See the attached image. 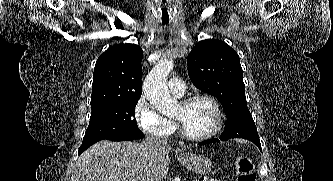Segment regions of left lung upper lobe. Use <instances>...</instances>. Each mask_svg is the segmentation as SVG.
I'll return each mask as SVG.
<instances>
[{
  "mask_svg": "<svg viewBox=\"0 0 333 181\" xmlns=\"http://www.w3.org/2000/svg\"><path fill=\"white\" fill-rule=\"evenodd\" d=\"M188 75L200 90L216 97L227 117L224 134L260 142L244 92L238 54L223 41L198 42L187 58Z\"/></svg>",
  "mask_w": 333,
  "mask_h": 181,
  "instance_id": "5c2ea615",
  "label": "left lung upper lobe"
}]
</instances>
